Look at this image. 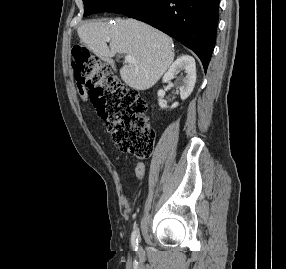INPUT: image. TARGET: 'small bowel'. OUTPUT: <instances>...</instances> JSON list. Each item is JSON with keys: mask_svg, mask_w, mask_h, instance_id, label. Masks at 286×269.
<instances>
[{"mask_svg": "<svg viewBox=\"0 0 286 269\" xmlns=\"http://www.w3.org/2000/svg\"><path fill=\"white\" fill-rule=\"evenodd\" d=\"M80 94L84 95V92L80 90ZM134 171H135L136 178L138 180L143 179V177L145 175V165H144V163H142V162L136 163L135 167H134Z\"/></svg>", "mask_w": 286, "mask_h": 269, "instance_id": "1", "label": "small bowel"}]
</instances>
